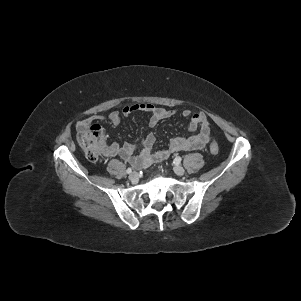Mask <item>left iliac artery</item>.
Segmentation results:
<instances>
[{"instance_id": "obj_1", "label": "left iliac artery", "mask_w": 301, "mask_h": 301, "mask_svg": "<svg viewBox=\"0 0 301 301\" xmlns=\"http://www.w3.org/2000/svg\"><path fill=\"white\" fill-rule=\"evenodd\" d=\"M182 158L180 156H177L175 159H174V163L175 164H179L181 162Z\"/></svg>"}]
</instances>
